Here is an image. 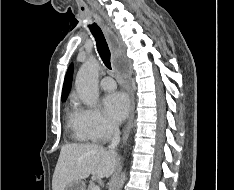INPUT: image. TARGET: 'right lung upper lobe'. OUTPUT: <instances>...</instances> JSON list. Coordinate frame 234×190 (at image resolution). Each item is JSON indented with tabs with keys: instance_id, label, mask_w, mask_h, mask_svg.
Instances as JSON below:
<instances>
[{
	"instance_id": "right-lung-upper-lobe-1",
	"label": "right lung upper lobe",
	"mask_w": 234,
	"mask_h": 190,
	"mask_svg": "<svg viewBox=\"0 0 234 190\" xmlns=\"http://www.w3.org/2000/svg\"><path fill=\"white\" fill-rule=\"evenodd\" d=\"M72 75H73V64L70 65L63 84V90H62V100H66L68 93L71 88V82H72Z\"/></svg>"
}]
</instances>
